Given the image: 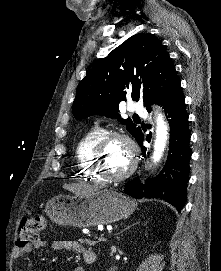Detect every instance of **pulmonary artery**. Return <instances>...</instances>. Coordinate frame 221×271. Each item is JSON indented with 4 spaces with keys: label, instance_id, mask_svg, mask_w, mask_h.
<instances>
[{
    "label": "pulmonary artery",
    "instance_id": "obj_1",
    "mask_svg": "<svg viewBox=\"0 0 221 271\" xmlns=\"http://www.w3.org/2000/svg\"><path fill=\"white\" fill-rule=\"evenodd\" d=\"M129 112H142V102H128Z\"/></svg>",
    "mask_w": 221,
    "mask_h": 271
}]
</instances>
